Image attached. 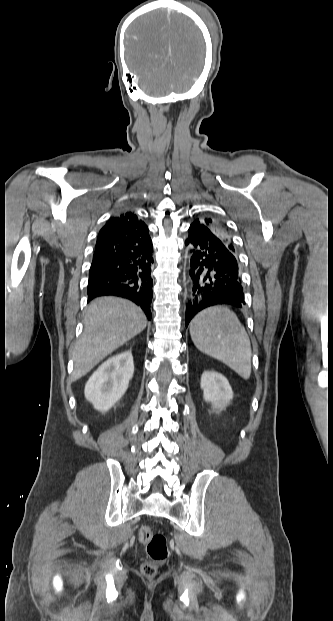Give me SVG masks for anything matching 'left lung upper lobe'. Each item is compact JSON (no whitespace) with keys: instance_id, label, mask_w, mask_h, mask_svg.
Wrapping results in <instances>:
<instances>
[{"instance_id":"5c2ea615","label":"left lung upper lobe","mask_w":333,"mask_h":621,"mask_svg":"<svg viewBox=\"0 0 333 621\" xmlns=\"http://www.w3.org/2000/svg\"><path fill=\"white\" fill-rule=\"evenodd\" d=\"M192 224L196 226L202 225V226L209 228L221 240V242L226 247L231 249L236 254L238 258V253L235 248L232 236L223 221L218 220L216 218H205L202 220L197 219Z\"/></svg>"}]
</instances>
